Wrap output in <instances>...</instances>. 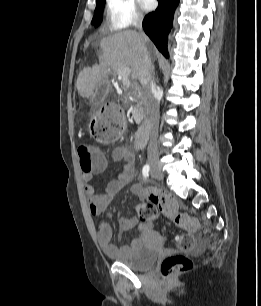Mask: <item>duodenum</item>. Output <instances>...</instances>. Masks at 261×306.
<instances>
[{
    "instance_id": "1",
    "label": "duodenum",
    "mask_w": 261,
    "mask_h": 306,
    "mask_svg": "<svg viewBox=\"0 0 261 306\" xmlns=\"http://www.w3.org/2000/svg\"><path fill=\"white\" fill-rule=\"evenodd\" d=\"M136 94L139 95V93ZM150 129H151V122L149 119H146L135 134L134 146L136 149H141L145 146L149 136Z\"/></svg>"
}]
</instances>
